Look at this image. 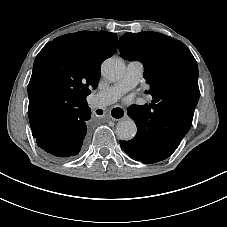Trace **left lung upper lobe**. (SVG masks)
<instances>
[{"label": "left lung upper lobe", "mask_w": 227, "mask_h": 227, "mask_svg": "<svg viewBox=\"0 0 227 227\" xmlns=\"http://www.w3.org/2000/svg\"><path fill=\"white\" fill-rule=\"evenodd\" d=\"M122 58L144 65V78L156 101L199 99L198 66L181 41L157 32L125 33L119 39Z\"/></svg>", "instance_id": "1"}]
</instances>
